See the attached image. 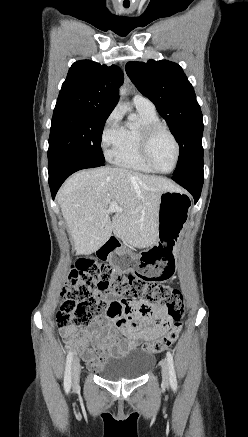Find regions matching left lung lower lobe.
Returning <instances> with one entry per match:
<instances>
[{
  "label": "left lung lower lobe",
  "mask_w": 248,
  "mask_h": 437,
  "mask_svg": "<svg viewBox=\"0 0 248 437\" xmlns=\"http://www.w3.org/2000/svg\"><path fill=\"white\" fill-rule=\"evenodd\" d=\"M172 179L193 195L195 203L199 200L203 185V169L186 176L172 177Z\"/></svg>",
  "instance_id": "1"
}]
</instances>
